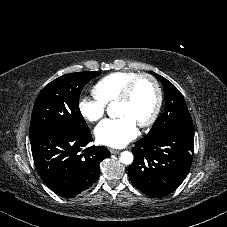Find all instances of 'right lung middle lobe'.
I'll list each match as a JSON object with an SVG mask.
<instances>
[{
    "label": "right lung middle lobe",
    "instance_id": "dd1d6c3e",
    "mask_svg": "<svg viewBox=\"0 0 227 227\" xmlns=\"http://www.w3.org/2000/svg\"><path fill=\"white\" fill-rule=\"evenodd\" d=\"M101 72H79L63 75L38 95L31 116L30 138L49 129L89 130L79 109L82 88Z\"/></svg>",
    "mask_w": 227,
    "mask_h": 227
}]
</instances>
